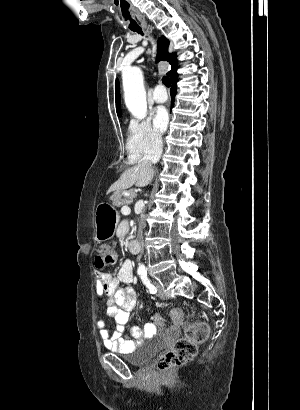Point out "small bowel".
I'll return each mask as SVG.
<instances>
[{
    "label": "small bowel",
    "instance_id": "c3829d8e",
    "mask_svg": "<svg viewBox=\"0 0 300 410\" xmlns=\"http://www.w3.org/2000/svg\"><path fill=\"white\" fill-rule=\"evenodd\" d=\"M96 293L102 298L107 297V314L115 321V330L110 331L104 321H99V336L104 345L112 350L128 352L135 349L145 340L153 337L159 331L162 323L158 317H152V322L142 328L133 326L130 337H124L123 332L129 320L130 313L137 303V295L131 286L133 281L132 264L125 261L117 276L106 272H96Z\"/></svg>",
    "mask_w": 300,
    "mask_h": 410
}]
</instances>
